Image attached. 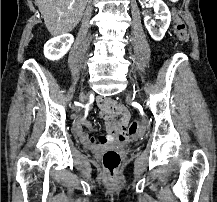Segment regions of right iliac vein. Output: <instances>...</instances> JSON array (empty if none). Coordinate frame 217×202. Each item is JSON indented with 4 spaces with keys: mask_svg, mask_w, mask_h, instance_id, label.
<instances>
[{
    "mask_svg": "<svg viewBox=\"0 0 217 202\" xmlns=\"http://www.w3.org/2000/svg\"><path fill=\"white\" fill-rule=\"evenodd\" d=\"M83 97H84V94L82 93V94L80 95V100H82Z\"/></svg>",
    "mask_w": 217,
    "mask_h": 202,
    "instance_id": "63e3f726",
    "label": "right iliac vein"
}]
</instances>
